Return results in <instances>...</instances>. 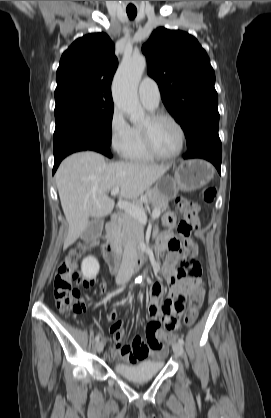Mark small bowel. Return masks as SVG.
<instances>
[{
    "label": "small bowel",
    "instance_id": "small-bowel-1",
    "mask_svg": "<svg viewBox=\"0 0 271 418\" xmlns=\"http://www.w3.org/2000/svg\"><path fill=\"white\" fill-rule=\"evenodd\" d=\"M166 223L172 226L173 217L168 216ZM179 259L180 254L171 251L161 269V274L168 283L167 298H164L163 286L160 283H154L151 287L148 305L150 321L146 327V340L136 336L131 345H123L124 331L121 321L117 319L116 313L109 314L108 319L112 323L111 332L114 345L107 350L105 355L107 359L140 363L149 359L158 360L166 354L164 343L170 336L169 332L179 326V320L184 310V306L177 305V300L184 299L188 294L194 293L202 284L200 278L179 276L176 268ZM93 283L92 280L84 279L78 282L83 287H88Z\"/></svg>",
    "mask_w": 271,
    "mask_h": 418
}]
</instances>
